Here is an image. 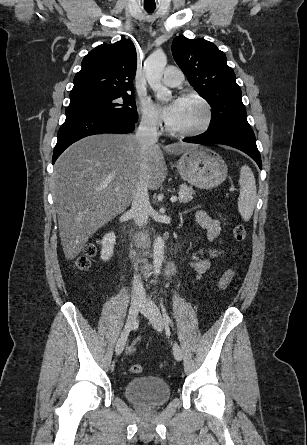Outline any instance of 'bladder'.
<instances>
[{
	"label": "bladder",
	"instance_id": "obj_1",
	"mask_svg": "<svg viewBox=\"0 0 307 445\" xmlns=\"http://www.w3.org/2000/svg\"><path fill=\"white\" fill-rule=\"evenodd\" d=\"M124 393L131 403L145 409H154L169 400L171 389L159 376H143L129 380L124 386Z\"/></svg>",
	"mask_w": 307,
	"mask_h": 445
}]
</instances>
